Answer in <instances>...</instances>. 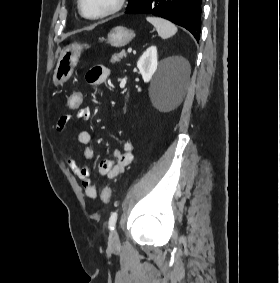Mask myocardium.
I'll return each mask as SVG.
<instances>
[{"label": "myocardium", "mask_w": 280, "mask_h": 283, "mask_svg": "<svg viewBox=\"0 0 280 283\" xmlns=\"http://www.w3.org/2000/svg\"><path fill=\"white\" fill-rule=\"evenodd\" d=\"M127 0H117L115 2V4L108 10H106L103 13H100L98 15H88L84 9H83V0H78L77 4H78V11L79 13L88 20H99V19H104L107 17H110L116 13H118L119 11H121L125 4H126Z\"/></svg>", "instance_id": "f54148a6"}]
</instances>
